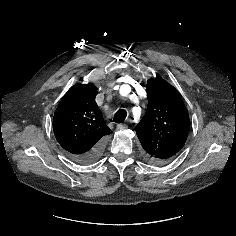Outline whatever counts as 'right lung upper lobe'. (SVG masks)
Masks as SVG:
<instances>
[{
  "instance_id": "1",
  "label": "right lung upper lobe",
  "mask_w": 236,
  "mask_h": 236,
  "mask_svg": "<svg viewBox=\"0 0 236 236\" xmlns=\"http://www.w3.org/2000/svg\"><path fill=\"white\" fill-rule=\"evenodd\" d=\"M96 92L93 84L74 85L63 96L54 113L55 137L70 154L88 152L112 132L95 101Z\"/></svg>"
}]
</instances>
